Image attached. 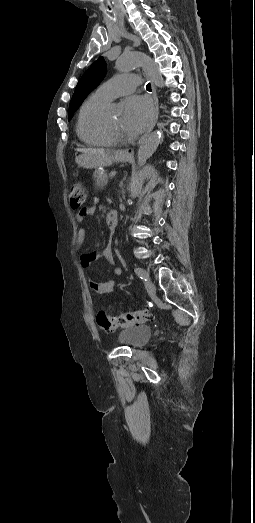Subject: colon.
Here are the masks:
<instances>
[{
    "mask_svg": "<svg viewBox=\"0 0 255 523\" xmlns=\"http://www.w3.org/2000/svg\"><path fill=\"white\" fill-rule=\"evenodd\" d=\"M70 205L74 209L81 208L86 201V193L83 183L76 180L72 183L69 191ZM152 319V313L149 309L122 313L119 315H110L105 311H99L96 315L98 326L105 331H112L119 327L128 325H137Z\"/></svg>",
    "mask_w": 255,
    "mask_h": 523,
    "instance_id": "5ec220e1",
    "label": "colon"
}]
</instances>
